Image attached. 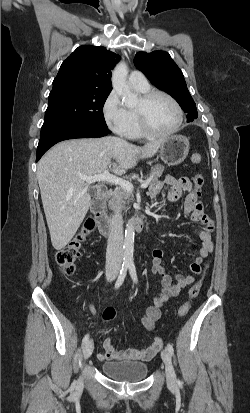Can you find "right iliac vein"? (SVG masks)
I'll use <instances>...</instances> for the list:
<instances>
[{
    "instance_id": "63e3f726",
    "label": "right iliac vein",
    "mask_w": 250,
    "mask_h": 413,
    "mask_svg": "<svg viewBox=\"0 0 250 413\" xmlns=\"http://www.w3.org/2000/svg\"><path fill=\"white\" fill-rule=\"evenodd\" d=\"M115 273H110L109 275H108V279L109 280H113L114 278H115ZM93 349H94V344H93V341L92 340H88L85 344H84V346H83V356H84V359H88L90 356H91V354H92V352H93Z\"/></svg>"
}]
</instances>
